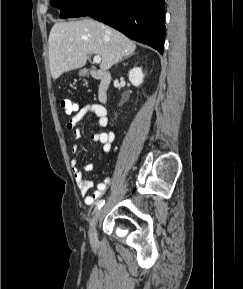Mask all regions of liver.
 Listing matches in <instances>:
<instances>
[{"label": "liver", "mask_w": 243, "mask_h": 289, "mask_svg": "<svg viewBox=\"0 0 243 289\" xmlns=\"http://www.w3.org/2000/svg\"><path fill=\"white\" fill-rule=\"evenodd\" d=\"M48 48L51 75L57 79L64 72L83 67L89 54L100 56V69L106 71L132 55L136 45L116 29L85 18L54 24Z\"/></svg>", "instance_id": "1"}]
</instances>
